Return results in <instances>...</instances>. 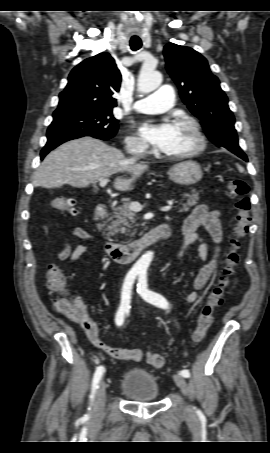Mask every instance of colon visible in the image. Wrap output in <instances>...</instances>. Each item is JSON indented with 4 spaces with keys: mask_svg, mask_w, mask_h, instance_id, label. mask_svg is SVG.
<instances>
[{
    "mask_svg": "<svg viewBox=\"0 0 270 453\" xmlns=\"http://www.w3.org/2000/svg\"><path fill=\"white\" fill-rule=\"evenodd\" d=\"M227 187L231 195L237 199L233 237L230 241V248L226 255L223 272L216 285L208 294L206 302L198 315L197 326L193 333V340L195 342L204 340L213 322L215 309L223 302L225 292L230 285V279L235 273L239 262L241 239L247 235L250 228L251 201L248 196V184L241 178H232L228 180ZM52 207L68 215H76L78 212L76 202L64 197H55L52 200ZM46 285L54 293L61 294L64 292L65 273L61 267L56 264L49 265L46 271ZM54 305L59 312L68 317L78 318L80 316L76 298L61 296L55 299ZM147 362L155 368H162L165 365V357L160 353L149 352L147 353Z\"/></svg>",
    "mask_w": 270,
    "mask_h": 453,
    "instance_id": "1",
    "label": "colon"
}]
</instances>
